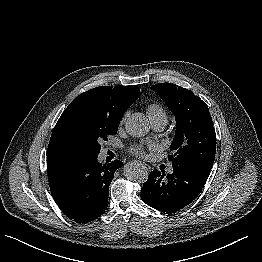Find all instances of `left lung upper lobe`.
<instances>
[{"mask_svg":"<svg viewBox=\"0 0 262 262\" xmlns=\"http://www.w3.org/2000/svg\"><path fill=\"white\" fill-rule=\"evenodd\" d=\"M176 118L175 138L170 146L174 154L169 156L173 168L201 172L207 175L212 169L216 134L208 106L188 89L172 83L151 86Z\"/></svg>","mask_w":262,"mask_h":262,"instance_id":"obj_1","label":"left lung upper lobe"}]
</instances>
